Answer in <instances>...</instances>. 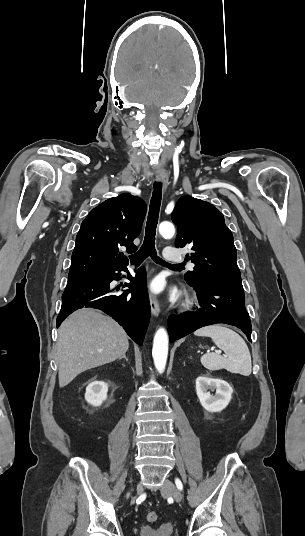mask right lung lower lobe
Returning <instances> with one entry per match:
<instances>
[{"instance_id": "obj_1", "label": "right lung lower lobe", "mask_w": 305, "mask_h": 536, "mask_svg": "<svg viewBox=\"0 0 305 536\" xmlns=\"http://www.w3.org/2000/svg\"><path fill=\"white\" fill-rule=\"evenodd\" d=\"M115 271H128L126 266L107 269L100 275H85L68 278L62 295V307L57 317V327L73 311L92 307L100 309L122 325L127 334L142 345L150 319V304L146 289V275L143 267L136 270L135 278L130 279L124 287L131 290L121 295H113L109 284L119 280Z\"/></svg>"}]
</instances>
